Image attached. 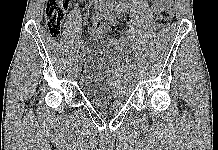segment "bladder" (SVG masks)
<instances>
[{
  "label": "bladder",
  "mask_w": 218,
  "mask_h": 150,
  "mask_svg": "<svg viewBox=\"0 0 218 150\" xmlns=\"http://www.w3.org/2000/svg\"><path fill=\"white\" fill-rule=\"evenodd\" d=\"M118 44L103 36L90 39L79 74L85 97L99 108H121L132 91Z\"/></svg>",
  "instance_id": "bladder-1"
}]
</instances>
